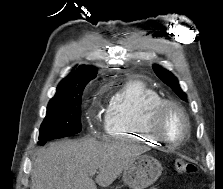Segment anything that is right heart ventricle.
I'll return each mask as SVG.
<instances>
[{
  "label": "right heart ventricle",
  "mask_w": 223,
  "mask_h": 189,
  "mask_svg": "<svg viewBox=\"0 0 223 189\" xmlns=\"http://www.w3.org/2000/svg\"><path fill=\"white\" fill-rule=\"evenodd\" d=\"M162 97L140 81H128L109 100L104 118L107 138H134L150 144H161L148 127V114Z\"/></svg>",
  "instance_id": "e07e8e85"
}]
</instances>
